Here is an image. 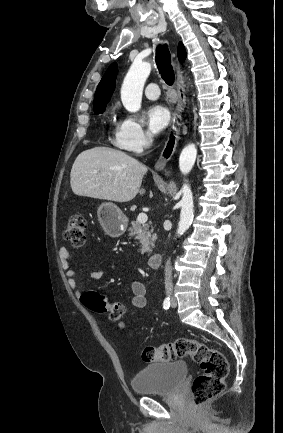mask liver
I'll use <instances>...</instances> for the list:
<instances>
[{
    "label": "liver",
    "mask_w": 283,
    "mask_h": 433,
    "mask_svg": "<svg viewBox=\"0 0 283 433\" xmlns=\"http://www.w3.org/2000/svg\"><path fill=\"white\" fill-rule=\"evenodd\" d=\"M147 170L145 164L122 150L94 146L83 150L75 158L70 172V184L73 192L79 196L128 202L138 192L144 194L145 188L140 186Z\"/></svg>",
    "instance_id": "obj_1"
}]
</instances>
